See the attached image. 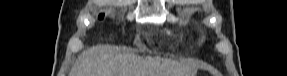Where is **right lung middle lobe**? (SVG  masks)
Returning <instances> with one entry per match:
<instances>
[{
    "instance_id": "obj_1",
    "label": "right lung middle lobe",
    "mask_w": 287,
    "mask_h": 76,
    "mask_svg": "<svg viewBox=\"0 0 287 76\" xmlns=\"http://www.w3.org/2000/svg\"><path fill=\"white\" fill-rule=\"evenodd\" d=\"M103 17H104V14L99 15V19H103Z\"/></svg>"
}]
</instances>
